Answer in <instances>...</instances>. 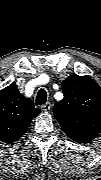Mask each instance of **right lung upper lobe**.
Instances as JSON below:
<instances>
[{
	"label": "right lung upper lobe",
	"mask_w": 101,
	"mask_h": 180,
	"mask_svg": "<svg viewBox=\"0 0 101 180\" xmlns=\"http://www.w3.org/2000/svg\"><path fill=\"white\" fill-rule=\"evenodd\" d=\"M39 114L40 109L19 93L17 85L10 84L0 91V140L4 143L18 140Z\"/></svg>",
	"instance_id": "right-lung-upper-lobe-1"
}]
</instances>
